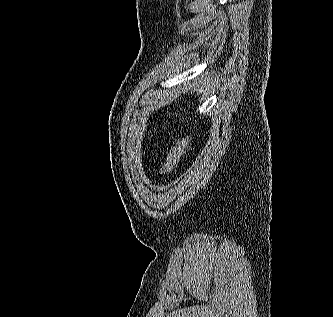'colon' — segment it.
<instances>
[{"instance_id": "obj_1", "label": "colon", "mask_w": 333, "mask_h": 317, "mask_svg": "<svg viewBox=\"0 0 333 317\" xmlns=\"http://www.w3.org/2000/svg\"><path fill=\"white\" fill-rule=\"evenodd\" d=\"M188 144V137L183 136L179 138L172 149L170 150L166 161L157 169V174L159 176H165L174 168L179 157L184 153Z\"/></svg>"}]
</instances>
